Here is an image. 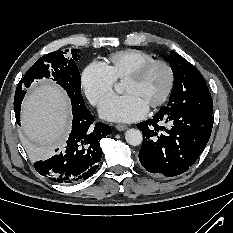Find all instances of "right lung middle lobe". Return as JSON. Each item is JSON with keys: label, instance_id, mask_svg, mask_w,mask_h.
Listing matches in <instances>:
<instances>
[{"label": "right lung middle lobe", "instance_id": "dd1d6c3e", "mask_svg": "<svg viewBox=\"0 0 233 233\" xmlns=\"http://www.w3.org/2000/svg\"><path fill=\"white\" fill-rule=\"evenodd\" d=\"M77 49L54 51L42 56L19 82L14 102L23 100L25 89L35 79L51 78L63 87L71 99L72 105H85L81 94L80 73L76 61L80 59ZM47 151L48 152H51Z\"/></svg>", "mask_w": 233, "mask_h": 233}]
</instances>
